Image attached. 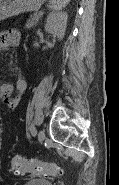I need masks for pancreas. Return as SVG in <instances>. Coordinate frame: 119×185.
<instances>
[{"label":"pancreas","instance_id":"cf45deb5","mask_svg":"<svg viewBox=\"0 0 119 185\" xmlns=\"http://www.w3.org/2000/svg\"><path fill=\"white\" fill-rule=\"evenodd\" d=\"M40 17H41V15L39 13H34L30 17V19L28 20V22L26 24V28L30 29V28L34 27L37 24Z\"/></svg>","mask_w":119,"mask_h":185}]
</instances>
